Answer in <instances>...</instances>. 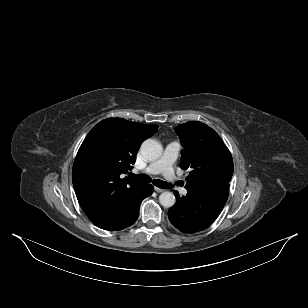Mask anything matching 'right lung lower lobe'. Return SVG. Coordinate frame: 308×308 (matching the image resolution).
I'll use <instances>...</instances> for the list:
<instances>
[{
    "instance_id": "right-lung-lower-lobe-1",
    "label": "right lung lower lobe",
    "mask_w": 308,
    "mask_h": 308,
    "mask_svg": "<svg viewBox=\"0 0 308 308\" xmlns=\"http://www.w3.org/2000/svg\"><path fill=\"white\" fill-rule=\"evenodd\" d=\"M153 190L152 185H144L138 192V195L133 199L124 215L113 222H104L95 225L108 231H119L131 226L138 218L141 201L150 196Z\"/></svg>"
}]
</instances>
